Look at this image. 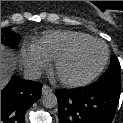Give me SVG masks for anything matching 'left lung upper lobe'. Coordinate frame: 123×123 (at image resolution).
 <instances>
[{"label": "left lung upper lobe", "mask_w": 123, "mask_h": 123, "mask_svg": "<svg viewBox=\"0 0 123 123\" xmlns=\"http://www.w3.org/2000/svg\"><path fill=\"white\" fill-rule=\"evenodd\" d=\"M120 69L119 60L113 55L107 71L98 79V81L120 84Z\"/></svg>", "instance_id": "5c2ea615"}]
</instances>
